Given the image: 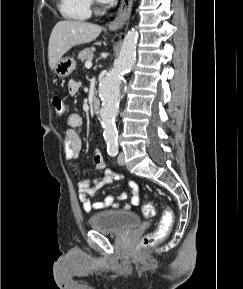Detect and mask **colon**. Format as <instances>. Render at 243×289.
<instances>
[{
	"label": "colon",
	"mask_w": 243,
	"mask_h": 289,
	"mask_svg": "<svg viewBox=\"0 0 243 289\" xmlns=\"http://www.w3.org/2000/svg\"><path fill=\"white\" fill-rule=\"evenodd\" d=\"M53 108L57 117L65 115L67 109L62 97L55 96L53 98ZM142 214L145 217H152L155 214V208L152 203H146L142 206ZM173 223V212L170 208H165L158 227L153 232L144 235L140 241V247L146 248L155 245L164 239L170 231Z\"/></svg>",
	"instance_id": "obj_1"
}]
</instances>
